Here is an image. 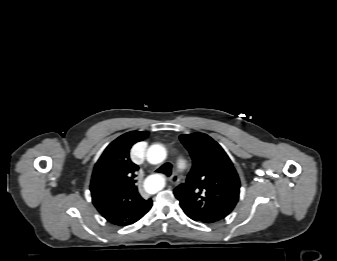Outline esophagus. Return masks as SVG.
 <instances>
[{"label": "esophagus", "instance_id": "esophagus-1", "mask_svg": "<svg viewBox=\"0 0 337 261\" xmlns=\"http://www.w3.org/2000/svg\"><path fill=\"white\" fill-rule=\"evenodd\" d=\"M170 182H171V184H173V185L178 184V182H179V177H178V175L174 173V174L170 177Z\"/></svg>", "mask_w": 337, "mask_h": 261}]
</instances>
